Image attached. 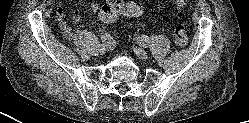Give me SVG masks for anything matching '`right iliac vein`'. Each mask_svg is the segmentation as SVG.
Masks as SVG:
<instances>
[{"instance_id":"1","label":"right iliac vein","mask_w":249,"mask_h":123,"mask_svg":"<svg viewBox=\"0 0 249 123\" xmlns=\"http://www.w3.org/2000/svg\"><path fill=\"white\" fill-rule=\"evenodd\" d=\"M108 49H109V46H108L107 44L103 43V44H101V45L99 46L98 51H99V53H100L101 55H103V54L106 53V51H107Z\"/></svg>"}]
</instances>
